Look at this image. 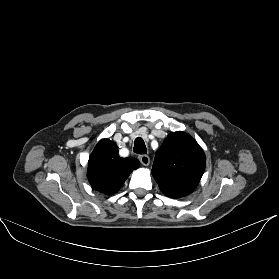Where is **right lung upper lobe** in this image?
Instances as JSON below:
<instances>
[{
  "label": "right lung upper lobe",
  "mask_w": 279,
  "mask_h": 279,
  "mask_svg": "<svg viewBox=\"0 0 279 279\" xmlns=\"http://www.w3.org/2000/svg\"><path fill=\"white\" fill-rule=\"evenodd\" d=\"M139 166L133 157L121 158L113 141L102 139L89 157L87 177L95 190L113 195Z\"/></svg>",
  "instance_id": "right-lung-upper-lobe-1"
}]
</instances>
